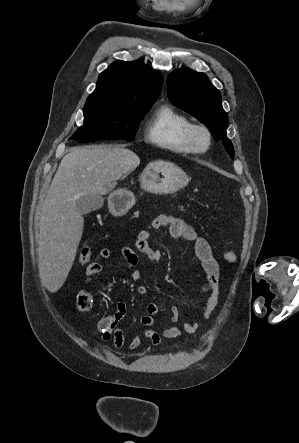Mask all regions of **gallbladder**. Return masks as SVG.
I'll list each match as a JSON object with an SVG mask.
<instances>
[{
    "label": "gallbladder",
    "mask_w": 299,
    "mask_h": 443,
    "mask_svg": "<svg viewBox=\"0 0 299 443\" xmlns=\"http://www.w3.org/2000/svg\"><path fill=\"white\" fill-rule=\"evenodd\" d=\"M104 204V199L100 195L86 194L77 199L75 206L80 214H88L100 209Z\"/></svg>",
    "instance_id": "gallbladder-1"
}]
</instances>
